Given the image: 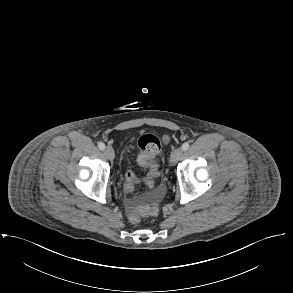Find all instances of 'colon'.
I'll return each instance as SVG.
<instances>
[{"label":"colon","instance_id":"colon-1","mask_svg":"<svg viewBox=\"0 0 293 293\" xmlns=\"http://www.w3.org/2000/svg\"><path fill=\"white\" fill-rule=\"evenodd\" d=\"M139 146L142 150V153L140 154L138 161L141 166L149 169V173L145 181L148 184H151L154 181V178L158 174L157 165L154 160L161 150V142L159 138L155 136L154 134L145 133L139 139ZM135 182H136V177L134 176V174L131 172H127L126 180H125V188L127 189L133 188ZM147 197L153 200L154 202L153 205L148 209L134 208L129 213V220L131 223H138L142 215L145 213L153 214L157 211V201L159 198L158 193H149Z\"/></svg>","mask_w":293,"mask_h":293}]
</instances>
